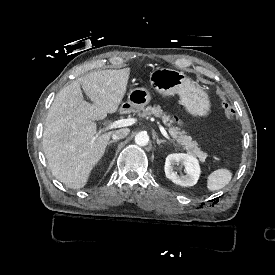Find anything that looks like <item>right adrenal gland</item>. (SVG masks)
Segmentation results:
<instances>
[{
    "mask_svg": "<svg viewBox=\"0 0 275 275\" xmlns=\"http://www.w3.org/2000/svg\"><path fill=\"white\" fill-rule=\"evenodd\" d=\"M118 141H119V140H113V141H110V142L108 143V147H110V146H111V144H113V143H115V144H116V143H118Z\"/></svg>",
    "mask_w": 275,
    "mask_h": 275,
    "instance_id": "2a0ac1e0",
    "label": "right adrenal gland"
}]
</instances>
